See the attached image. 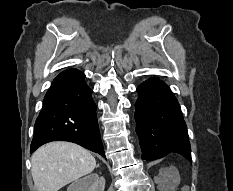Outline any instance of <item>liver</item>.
<instances>
[{
	"instance_id": "liver-1",
	"label": "liver",
	"mask_w": 233,
	"mask_h": 191,
	"mask_svg": "<svg viewBox=\"0 0 233 191\" xmlns=\"http://www.w3.org/2000/svg\"><path fill=\"white\" fill-rule=\"evenodd\" d=\"M31 172L37 191H58L91 173L96 160L83 147L63 141L45 144L31 158Z\"/></svg>"
}]
</instances>
